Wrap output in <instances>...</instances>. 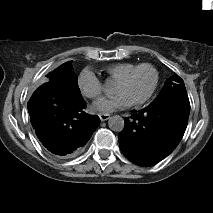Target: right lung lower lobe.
Instances as JSON below:
<instances>
[{
	"label": "right lung lower lobe",
	"instance_id": "right-lung-lower-lobe-1",
	"mask_svg": "<svg viewBox=\"0 0 213 213\" xmlns=\"http://www.w3.org/2000/svg\"><path fill=\"white\" fill-rule=\"evenodd\" d=\"M85 106L80 92L55 82L40 86L27 104L38 138L59 156L78 150L99 126V117L87 115Z\"/></svg>",
	"mask_w": 213,
	"mask_h": 213
}]
</instances>
